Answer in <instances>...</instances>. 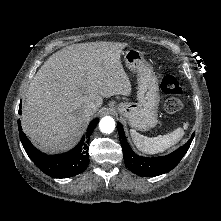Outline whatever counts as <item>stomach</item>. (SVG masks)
<instances>
[{"label":"stomach","mask_w":221,"mask_h":221,"mask_svg":"<svg viewBox=\"0 0 221 221\" xmlns=\"http://www.w3.org/2000/svg\"><path fill=\"white\" fill-rule=\"evenodd\" d=\"M123 54L125 66L130 71L137 73L138 102H121L116 109L122 116L127 118L131 127L147 131L157 123L160 102L158 79L153 69L143 59L140 51L130 49Z\"/></svg>","instance_id":"obj_1"}]
</instances>
